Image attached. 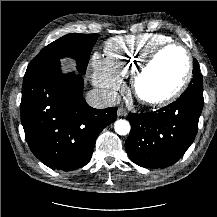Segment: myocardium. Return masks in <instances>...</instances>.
<instances>
[{
	"label": "myocardium",
	"mask_w": 217,
	"mask_h": 217,
	"mask_svg": "<svg viewBox=\"0 0 217 217\" xmlns=\"http://www.w3.org/2000/svg\"><path fill=\"white\" fill-rule=\"evenodd\" d=\"M171 49H180L184 52L187 59V71L179 86L169 94L159 98H145L139 93V82L145 73L152 67L158 57L165 51ZM193 77V58L190 51L182 44L169 42L155 48L136 68L132 74L131 88L135 97L143 104L153 107L164 106L180 98L188 88Z\"/></svg>",
	"instance_id": "f54148a6"
}]
</instances>
